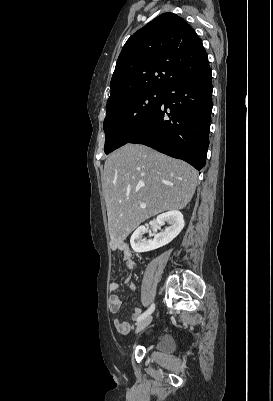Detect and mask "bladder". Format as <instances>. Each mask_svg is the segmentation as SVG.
<instances>
[{
	"mask_svg": "<svg viewBox=\"0 0 273 401\" xmlns=\"http://www.w3.org/2000/svg\"><path fill=\"white\" fill-rule=\"evenodd\" d=\"M175 342L171 336H163L158 344L157 350L161 353H169L174 350Z\"/></svg>",
	"mask_w": 273,
	"mask_h": 401,
	"instance_id": "31cf9c89",
	"label": "bladder"
}]
</instances>
